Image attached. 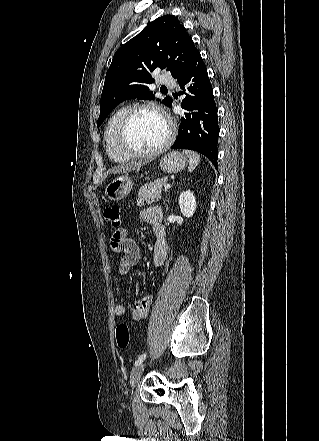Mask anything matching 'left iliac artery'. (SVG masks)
I'll return each mask as SVG.
<instances>
[{
  "instance_id": "44dca946",
  "label": "left iliac artery",
  "mask_w": 319,
  "mask_h": 441,
  "mask_svg": "<svg viewBox=\"0 0 319 441\" xmlns=\"http://www.w3.org/2000/svg\"><path fill=\"white\" fill-rule=\"evenodd\" d=\"M146 358V353L142 354L136 361H135V366L141 364L144 359Z\"/></svg>"
}]
</instances>
